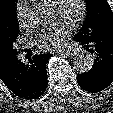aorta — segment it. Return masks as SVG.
I'll return each instance as SVG.
<instances>
[{
    "mask_svg": "<svg viewBox=\"0 0 113 113\" xmlns=\"http://www.w3.org/2000/svg\"><path fill=\"white\" fill-rule=\"evenodd\" d=\"M34 17L38 20L39 23L44 24L50 18L49 12L41 7H38L32 11ZM94 64V58L91 54H78L75 56L73 61V68L77 72L84 74L92 69Z\"/></svg>",
    "mask_w": 113,
    "mask_h": 113,
    "instance_id": "1",
    "label": "aorta"
}]
</instances>
